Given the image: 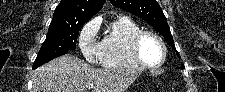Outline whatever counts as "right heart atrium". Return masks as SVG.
Listing matches in <instances>:
<instances>
[{
  "label": "right heart atrium",
  "instance_id": "d8ad5b80",
  "mask_svg": "<svg viewBox=\"0 0 225 92\" xmlns=\"http://www.w3.org/2000/svg\"><path fill=\"white\" fill-rule=\"evenodd\" d=\"M99 23L96 19L87 22L80 30L78 43L84 59L89 63L101 61V41L98 37Z\"/></svg>",
  "mask_w": 225,
  "mask_h": 92
}]
</instances>
